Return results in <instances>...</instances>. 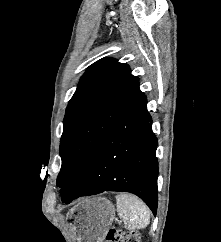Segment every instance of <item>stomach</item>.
<instances>
[{
	"mask_svg": "<svg viewBox=\"0 0 221 242\" xmlns=\"http://www.w3.org/2000/svg\"><path fill=\"white\" fill-rule=\"evenodd\" d=\"M114 218L115 208L108 199L85 198L70 210V228L77 242H102Z\"/></svg>",
	"mask_w": 221,
	"mask_h": 242,
	"instance_id": "obj_1",
	"label": "stomach"
}]
</instances>
